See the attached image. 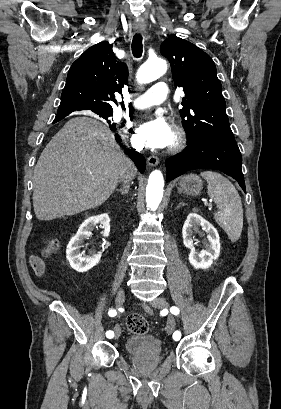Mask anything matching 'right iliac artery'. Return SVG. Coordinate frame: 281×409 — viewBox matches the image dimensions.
Returning <instances> with one entry per match:
<instances>
[{
  "label": "right iliac artery",
  "mask_w": 281,
  "mask_h": 409,
  "mask_svg": "<svg viewBox=\"0 0 281 409\" xmlns=\"http://www.w3.org/2000/svg\"><path fill=\"white\" fill-rule=\"evenodd\" d=\"M116 313H117L116 310H110V311L108 312L109 316H111V317L115 316ZM106 336H107L108 338H113L114 332L111 331V330H109V331L106 332Z\"/></svg>",
  "instance_id": "82829eb1"
}]
</instances>
